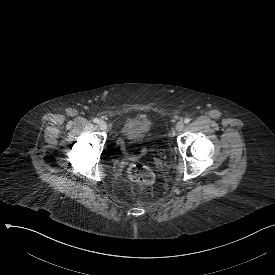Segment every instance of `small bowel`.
I'll return each mask as SVG.
<instances>
[{
  "instance_id": "1",
  "label": "small bowel",
  "mask_w": 275,
  "mask_h": 275,
  "mask_svg": "<svg viewBox=\"0 0 275 275\" xmlns=\"http://www.w3.org/2000/svg\"><path fill=\"white\" fill-rule=\"evenodd\" d=\"M120 148H121V149H124V145H123L122 143L120 144Z\"/></svg>"
}]
</instances>
